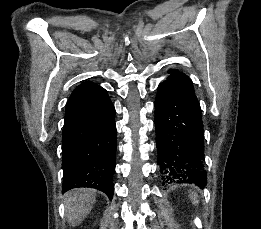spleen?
Returning a JSON list of instances; mask_svg holds the SVG:
<instances>
[{"mask_svg":"<svg viewBox=\"0 0 261 229\" xmlns=\"http://www.w3.org/2000/svg\"><path fill=\"white\" fill-rule=\"evenodd\" d=\"M189 197H191V199H192V205H198L199 201L197 199L196 193H191V191H190Z\"/></svg>","mask_w":261,"mask_h":229,"instance_id":"obj_1","label":"spleen"}]
</instances>
